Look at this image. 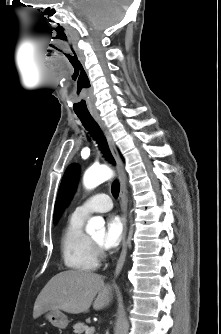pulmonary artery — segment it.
Listing matches in <instances>:
<instances>
[{"mask_svg": "<svg viewBox=\"0 0 221 334\" xmlns=\"http://www.w3.org/2000/svg\"><path fill=\"white\" fill-rule=\"evenodd\" d=\"M112 207L113 203L109 195L105 193H97L76 207L73 214L77 217L86 218L92 213L107 212L111 210Z\"/></svg>", "mask_w": 221, "mask_h": 334, "instance_id": "pulmonary-artery-1", "label": "pulmonary artery"}]
</instances>
